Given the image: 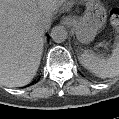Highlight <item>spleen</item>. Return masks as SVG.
<instances>
[{
	"instance_id": "3e777b00",
	"label": "spleen",
	"mask_w": 119,
	"mask_h": 119,
	"mask_svg": "<svg viewBox=\"0 0 119 119\" xmlns=\"http://www.w3.org/2000/svg\"><path fill=\"white\" fill-rule=\"evenodd\" d=\"M80 63L95 76L105 79L119 75V40L109 58L101 57L91 50H84L78 56Z\"/></svg>"
}]
</instances>
